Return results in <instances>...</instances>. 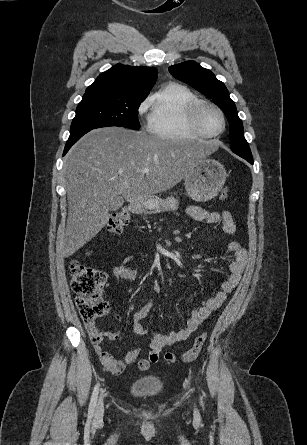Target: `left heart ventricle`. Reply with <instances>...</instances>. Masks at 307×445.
Instances as JSON below:
<instances>
[{"instance_id": "b2bd125f", "label": "left heart ventricle", "mask_w": 307, "mask_h": 445, "mask_svg": "<svg viewBox=\"0 0 307 445\" xmlns=\"http://www.w3.org/2000/svg\"><path fill=\"white\" fill-rule=\"evenodd\" d=\"M203 121L208 131L212 134H219L224 129V120L214 108L207 107L203 111Z\"/></svg>"}]
</instances>
